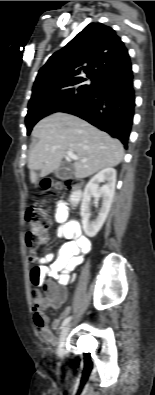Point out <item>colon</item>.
<instances>
[{
  "instance_id": "1",
  "label": "colon",
  "mask_w": 155,
  "mask_h": 395,
  "mask_svg": "<svg viewBox=\"0 0 155 395\" xmlns=\"http://www.w3.org/2000/svg\"><path fill=\"white\" fill-rule=\"evenodd\" d=\"M65 185L71 188L77 185V181L69 179L65 182ZM25 218L28 223L25 241L29 250V260L34 263L38 259V252H35V249L39 250L42 245L49 241L51 222L47 211L40 204L30 206L26 211ZM44 287L45 290L42 293L34 291L35 305L39 304L42 295L58 297L62 293L52 284H46Z\"/></svg>"
}]
</instances>
